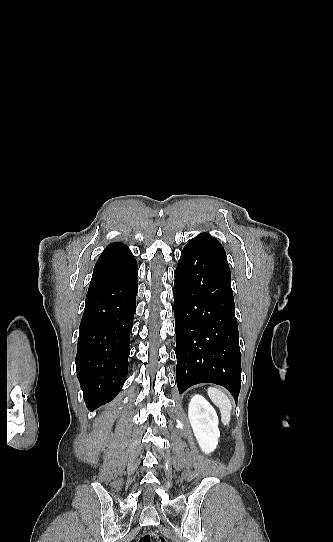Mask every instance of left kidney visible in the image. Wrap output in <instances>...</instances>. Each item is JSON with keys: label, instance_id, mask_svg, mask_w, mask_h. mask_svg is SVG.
Instances as JSON below:
<instances>
[{"label": "left kidney", "instance_id": "obj_1", "mask_svg": "<svg viewBox=\"0 0 333 542\" xmlns=\"http://www.w3.org/2000/svg\"><path fill=\"white\" fill-rule=\"evenodd\" d=\"M188 418L202 452H214L220 438L219 420L214 408L200 394L193 396L188 408Z\"/></svg>", "mask_w": 333, "mask_h": 542}]
</instances>
